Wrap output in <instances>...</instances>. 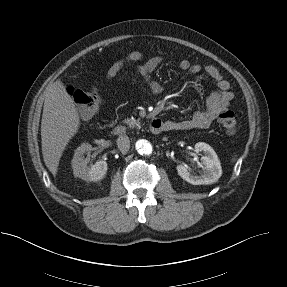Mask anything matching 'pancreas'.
<instances>
[{"mask_svg": "<svg viewBox=\"0 0 287 287\" xmlns=\"http://www.w3.org/2000/svg\"><path fill=\"white\" fill-rule=\"evenodd\" d=\"M123 123L127 124L130 128L138 127L140 128V122L135 120L134 118H127L123 121Z\"/></svg>", "mask_w": 287, "mask_h": 287, "instance_id": "pancreas-1", "label": "pancreas"}]
</instances>
